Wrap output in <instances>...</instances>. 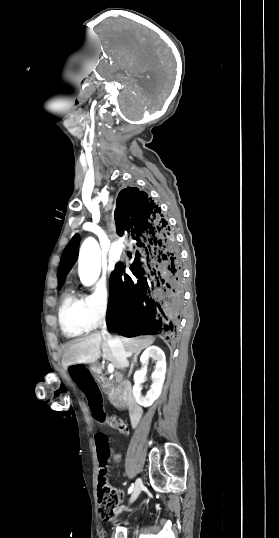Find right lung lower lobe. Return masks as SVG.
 Segmentation results:
<instances>
[{"instance_id":"obj_1","label":"right lung lower lobe","mask_w":279,"mask_h":538,"mask_svg":"<svg viewBox=\"0 0 279 538\" xmlns=\"http://www.w3.org/2000/svg\"><path fill=\"white\" fill-rule=\"evenodd\" d=\"M118 235L132 240L136 257L125 274L117 264L110 279L107 325L125 333L171 334L184 308L182 260L175 236L160 207L137 188L118 195Z\"/></svg>"}]
</instances>
